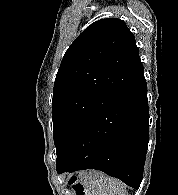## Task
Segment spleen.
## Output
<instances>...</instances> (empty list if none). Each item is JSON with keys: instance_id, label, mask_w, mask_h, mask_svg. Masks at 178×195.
<instances>
[{"instance_id": "3e777b00", "label": "spleen", "mask_w": 178, "mask_h": 195, "mask_svg": "<svg viewBox=\"0 0 178 195\" xmlns=\"http://www.w3.org/2000/svg\"><path fill=\"white\" fill-rule=\"evenodd\" d=\"M81 182L91 195H128L123 182L101 172H90L81 178Z\"/></svg>"}]
</instances>
